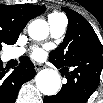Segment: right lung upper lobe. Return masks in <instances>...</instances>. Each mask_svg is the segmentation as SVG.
I'll use <instances>...</instances> for the list:
<instances>
[{"mask_svg":"<svg viewBox=\"0 0 103 103\" xmlns=\"http://www.w3.org/2000/svg\"><path fill=\"white\" fill-rule=\"evenodd\" d=\"M45 9L44 6L33 4H0V39L4 43L14 44L28 21Z\"/></svg>","mask_w":103,"mask_h":103,"instance_id":"1","label":"right lung upper lobe"}]
</instances>
